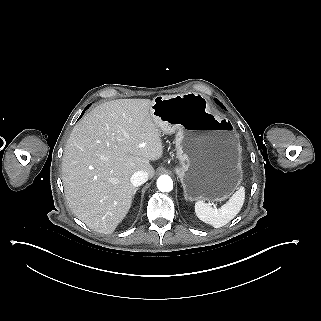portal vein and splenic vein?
Returning <instances> with one entry per match:
<instances>
[{"instance_id":"obj_1","label":"portal vein and splenic vein","mask_w":321,"mask_h":321,"mask_svg":"<svg viewBox=\"0 0 321 321\" xmlns=\"http://www.w3.org/2000/svg\"><path fill=\"white\" fill-rule=\"evenodd\" d=\"M213 204H214V206H216V207H217V206H219V204H220V203H219V201H217V200H216V201H214V203H213Z\"/></svg>"}]
</instances>
